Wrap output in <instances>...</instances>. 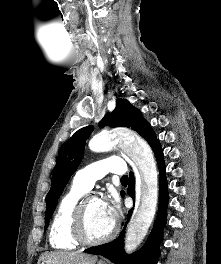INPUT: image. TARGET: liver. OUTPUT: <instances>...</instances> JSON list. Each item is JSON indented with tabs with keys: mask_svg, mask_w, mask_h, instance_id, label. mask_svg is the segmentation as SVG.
Masks as SVG:
<instances>
[{
	"mask_svg": "<svg viewBox=\"0 0 221 264\" xmlns=\"http://www.w3.org/2000/svg\"><path fill=\"white\" fill-rule=\"evenodd\" d=\"M96 261V256L88 254L55 251L43 253L38 260V264L40 262L46 264H95Z\"/></svg>",
	"mask_w": 221,
	"mask_h": 264,
	"instance_id": "obj_1",
	"label": "liver"
}]
</instances>
